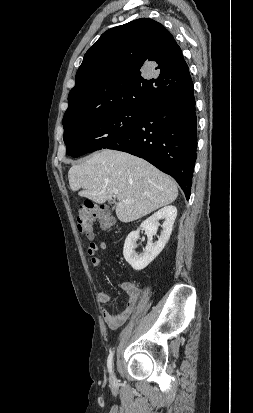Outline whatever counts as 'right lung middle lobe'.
<instances>
[{"label":"right lung middle lobe","mask_w":253,"mask_h":413,"mask_svg":"<svg viewBox=\"0 0 253 413\" xmlns=\"http://www.w3.org/2000/svg\"><path fill=\"white\" fill-rule=\"evenodd\" d=\"M141 115L142 109L118 108L64 124L67 155L78 157L115 144L138 125Z\"/></svg>","instance_id":"1"}]
</instances>
